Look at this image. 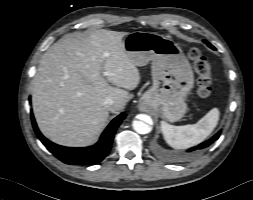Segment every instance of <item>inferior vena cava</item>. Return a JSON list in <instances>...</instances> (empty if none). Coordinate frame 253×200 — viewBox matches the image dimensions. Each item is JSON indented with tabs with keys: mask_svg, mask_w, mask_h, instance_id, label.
Masks as SVG:
<instances>
[{
	"mask_svg": "<svg viewBox=\"0 0 253 200\" xmlns=\"http://www.w3.org/2000/svg\"><path fill=\"white\" fill-rule=\"evenodd\" d=\"M103 105L105 106L106 109L111 110L112 106L114 105V100L110 97H107L103 101Z\"/></svg>",
	"mask_w": 253,
	"mask_h": 200,
	"instance_id": "602c4592",
	"label": "inferior vena cava"
}]
</instances>
